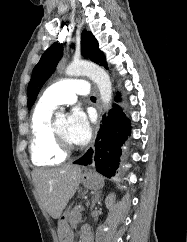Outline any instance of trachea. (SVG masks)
<instances>
[{
  "instance_id": "1",
  "label": "trachea",
  "mask_w": 187,
  "mask_h": 242,
  "mask_svg": "<svg viewBox=\"0 0 187 242\" xmlns=\"http://www.w3.org/2000/svg\"><path fill=\"white\" fill-rule=\"evenodd\" d=\"M91 99H96V98L94 96H92Z\"/></svg>"
}]
</instances>
